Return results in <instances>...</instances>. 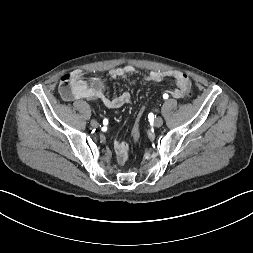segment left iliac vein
<instances>
[{
    "instance_id": "4c4485c4",
    "label": "left iliac vein",
    "mask_w": 253,
    "mask_h": 253,
    "mask_svg": "<svg viewBox=\"0 0 253 253\" xmlns=\"http://www.w3.org/2000/svg\"><path fill=\"white\" fill-rule=\"evenodd\" d=\"M163 119L161 118V117H157V118H155V120H154V126L155 127H160V126H162L163 125Z\"/></svg>"
}]
</instances>
